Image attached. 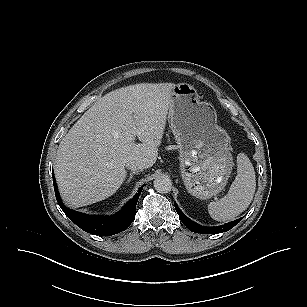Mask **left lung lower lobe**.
<instances>
[{"label": "left lung lower lobe", "mask_w": 307, "mask_h": 307, "mask_svg": "<svg viewBox=\"0 0 307 307\" xmlns=\"http://www.w3.org/2000/svg\"><path fill=\"white\" fill-rule=\"evenodd\" d=\"M175 208L176 211L181 219V221L183 222V224L192 232L195 233H201V234H218V233H222V232H226L228 230H230L231 228H233L235 225L238 224V222H240V219H237L235 221L226 223L224 225L221 226H215V227H207V226H202L200 224L195 223L194 221L190 220L188 217H186L183 212L179 209V207L177 206V204L175 203Z\"/></svg>", "instance_id": "1"}]
</instances>
